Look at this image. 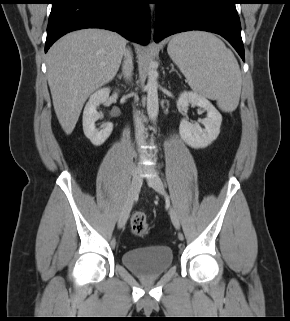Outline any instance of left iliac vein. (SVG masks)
<instances>
[{
	"label": "left iliac vein",
	"instance_id": "1",
	"mask_svg": "<svg viewBox=\"0 0 290 321\" xmlns=\"http://www.w3.org/2000/svg\"><path fill=\"white\" fill-rule=\"evenodd\" d=\"M148 184L159 194L165 195V189L162 180L157 174H154L153 176L148 178ZM170 218L175 226V228H180V219L179 216L174 208H170L169 210Z\"/></svg>",
	"mask_w": 290,
	"mask_h": 321
}]
</instances>
